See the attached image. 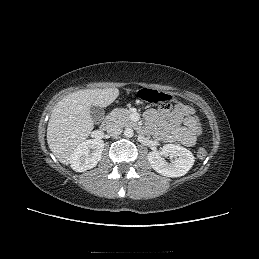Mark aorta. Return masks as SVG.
Masks as SVG:
<instances>
[{
    "label": "aorta",
    "mask_w": 259,
    "mask_h": 259,
    "mask_svg": "<svg viewBox=\"0 0 259 259\" xmlns=\"http://www.w3.org/2000/svg\"><path fill=\"white\" fill-rule=\"evenodd\" d=\"M133 135H134V132H133V129H132V128H126V129L124 130V136H125L126 138H131V137H133Z\"/></svg>",
    "instance_id": "aorta-1"
}]
</instances>
